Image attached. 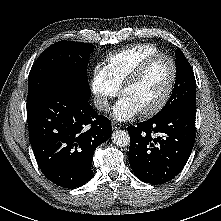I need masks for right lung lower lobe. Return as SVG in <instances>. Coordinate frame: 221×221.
<instances>
[{
  "label": "right lung lower lobe",
  "instance_id": "98d812e1",
  "mask_svg": "<svg viewBox=\"0 0 221 221\" xmlns=\"http://www.w3.org/2000/svg\"><path fill=\"white\" fill-rule=\"evenodd\" d=\"M29 140L42 173L64 188L83 186L92 178L94 150L111 136V122L88 100L61 90L42 95L27 106Z\"/></svg>",
  "mask_w": 221,
  "mask_h": 221
}]
</instances>
